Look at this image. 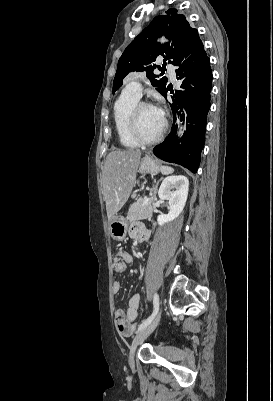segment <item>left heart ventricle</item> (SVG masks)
<instances>
[{
  "label": "left heart ventricle",
  "instance_id": "b2bd125f",
  "mask_svg": "<svg viewBox=\"0 0 273 401\" xmlns=\"http://www.w3.org/2000/svg\"><path fill=\"white\" fill-rule=\"evenodd\" d=\"M137 121L141 134L147 138L157 135L163 127V123L158 120L152 109L148 106H143L139 109Z\"/></svg>",
  "mask_w": 273,
  "mask_h": 401
}]
</instances>
